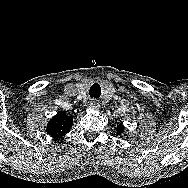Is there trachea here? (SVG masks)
Wrapping results in <instances>:
<instances>
[{
  "instance_id": "trachea-1",
  "label": "trachea",
  "mask_w": 188,
  "mask_h": 188,
  "mask_svg": "<svg viewBox=\"0 0 188 188\" xmlns=\"http://www.w3.org/2000/svg\"><path fill=\"white\" fill-rule=\"evenodd\" d=\"M102 87L99 84H93L89 90V94L93 98H98L101 95Z\"/></svg>"
}]
</instances>
